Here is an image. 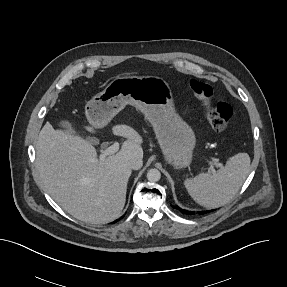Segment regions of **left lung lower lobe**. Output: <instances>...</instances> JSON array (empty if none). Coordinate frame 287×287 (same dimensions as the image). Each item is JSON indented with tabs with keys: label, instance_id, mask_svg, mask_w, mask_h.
<instances>
[{
	"label": "left lung lower lobe",
	"instance_id": "0a47b994",
	"mask_svg": "<svg viewBox=\"0 0 287 287\" xmlns=\"http://www.w3.org/2000/svg\"><path fill=\"white\" fill-rule=\"evenodd\" d=\"M174 208H177L178 210H180V212H182L183 214H194L195 212H191V211H188V210H183L181 208H179L178 206H174ZM207 212H210V211H206ZM199 214H204V211L202 212H198Z\"/></svg>",
	"mask_w": 287,
	"mask_h": 287
}]
</instances>
